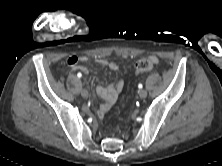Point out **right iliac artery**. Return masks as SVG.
Listing matches in <instances>:
<instances>
[{
  "label": "right iliac artery",
  "mask_w": 222,
  "mask_h": 166,
  "mask_svg": "<svg viewBox=\"0 0 222 166\" xmlns=\"http://www.w3.org/2000/svg\"><path fill=\"white\" fill-rule=\"evenodd\" d=\"M81 76H82V74H81V73H78V74H77V77H78V78H80Z\"/></svg>",
  "instance_id": "82829eb1"
}]
</instances>
